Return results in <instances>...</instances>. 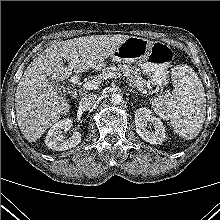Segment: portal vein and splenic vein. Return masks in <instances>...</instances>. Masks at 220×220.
<instances>
[{
  "mask_svg": "<svg viewBox=\"0 0 220 220\" xmlns=\"http://www.w3.org/2000/svg\"><path fill=\"white\" fill-rule=\"evenodd\" d=\"M121 75L120 73H115V72H111L109 73L105 79H109V78H120ZM101 81L96 80V79H92L86 83L83 84V88L86 90H95L99 88ZM141 92L146 93V90L143 89H139Z\"/></svg>",
  "mask_w": 220,
  "mask_h": 220,
  "instance_id": "1",
  "label": "portal vein and splenic vein"
}]
</instances>
